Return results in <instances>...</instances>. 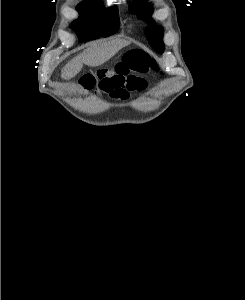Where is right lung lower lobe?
<instances>
[{"mask_svg":"<svg viewBox=\"0 0 245 300\" xmlns=\"http://www.w3.org/2000/svg\"><path fill=\"white\" fill-rule=\"evenodd\" d=\"M85 27L92 28V27H94V24L88 23V24H85Z\"/></svg>","mask_w":245,"mask_h":300,"instance_id":"right-lung-lower-lobe-1","label":"right lung lower lobe"}]
</instances>
